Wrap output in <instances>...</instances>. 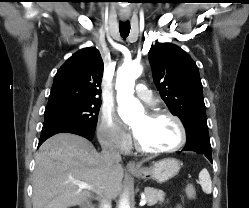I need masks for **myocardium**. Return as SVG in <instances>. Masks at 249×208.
Wrapping results in <instances>:
<instances>
[{
	"mask_svg": "<svg viewBox=\"0 0 249 208\" xmlns=\"http://www.w3.org/2000/svg\"><path fill=\"white\" fill-rule=\"evenodd\" d=\"M148 116L151 118L168 117L172 119L179 128L180 139H179V142L175 146L168 148V149H148L142 146L141 143L138 141V139L135 138L134 145H135V148L139 152L144 153V154H149V155L169 154V153L176 152L177 150H179L185 145L187 141V130H186V127L183 121L177 115L173 114L172 112L168 110L155 109V110L150 111L148 113Z\"/></svg>",
	"mask_w": 249,
	"mask_h": 208,
	"instance_id": "obj_1",
	"label": "myocardium"
}]
</instances>
